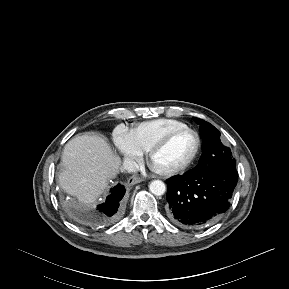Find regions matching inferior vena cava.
Returning <instances> with one entry per match:
<instances>
[{
  "mask_svg": "<svg viewBox=\"0 0 289 289\" xmlns=\"http://www.w3.org/2000/svg\"><path fill=\"white\" fill-rule=\"evenodd\" d=\"M122 168L128 173H135L139 170V165L132 159H126L123 162Z\"/></svg>",
  "mask_w": 289,
  "mask_h": 289,
  "instance_id": "inferior-vena-cava-1",
  "label": "inferior vena cava"
}]
</instances>
